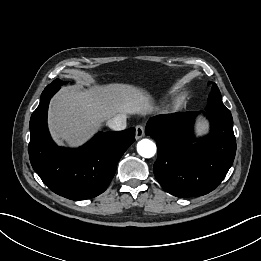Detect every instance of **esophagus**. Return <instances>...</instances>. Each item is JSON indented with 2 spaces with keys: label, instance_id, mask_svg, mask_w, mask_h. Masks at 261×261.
<instances>
[{
  "label": "esophagus",
  "instance_id": "1",
  "mask_svg": "<svg viewBox=\"0 0 261 261\" xmlns=\"http://www.w3.org/2000/svg\"><path fill=\"white\" fill-rule=\"evenodd\" d=\"M135 138L138 140L145 135V130L142 125H137L135 128Z\"/></svg>",
  "mask_w": 261,
  "mask_h": 261
}]
</instances>
